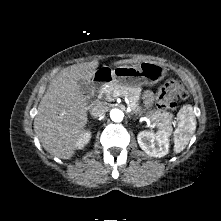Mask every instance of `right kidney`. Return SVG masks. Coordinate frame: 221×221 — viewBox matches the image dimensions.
Here are the masks:
<instances>
[{
	"label": "right kidney",
	"mask_w": 221,
	"mask_h": 221,
	"mask_svg": "<svg viewBox=\"0 0 221 221\" xmlns=\"http://www.w3.org/2000/svg\"><path fill=\"white\" fill-rule=\"evenodd\" d=\"M91 139V132L89 130L84 131L80 138L76 141L77 149H83L85 145L89 143Z\"/></svg>",
	"instance_id": "right-kidney-1"
}]
</instances>
